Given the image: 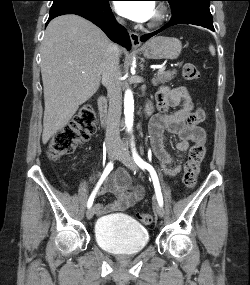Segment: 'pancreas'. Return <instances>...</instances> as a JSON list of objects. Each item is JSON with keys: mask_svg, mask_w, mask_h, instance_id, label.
Masks as SVG:
<instances>
[{"mask_svg": "<svg viewBox=\"0 0 250 285\" xmlns=\"http://www.w3.org/2000/svg\"><path fill=\"white\" fill-rule=\"evenodd\" d=\"M176 74H177L176 70L158 72L152 79V83L154 86H157L159 84H165L171 81Z\"/></svg>", "mask_w": 250, "mask_h": 285, "instance_id": "obj_1", "label": "pancreas"}]
</instances>
